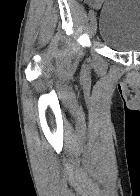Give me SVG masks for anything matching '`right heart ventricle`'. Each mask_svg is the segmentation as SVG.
<instances>
[{
    "instance_id": "obj_1",
    "label": "right heart ventricle",
    "mask_w": 140,
    "mask_h": 196,
    "mask_svg": "<svg viewBox=\"0 0 140 196\" xmlns=\"http://www.w3.org/2000/svg\"><path fill=\"white\" fill-rule=\"evenodd\" d=\"M80 192H100V191H80ZM107 192H113V191H107Z\"/></svg>"
}]
</instances>
